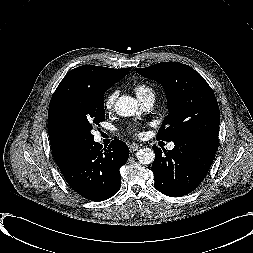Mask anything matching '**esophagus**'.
<instances>
[{"label": "esophagus", "instance_id": "1", "mask_svg": "<svg viewBox=\"0 0 253 253\" xmlns=\"http://www.w3.org/2000/svg\"><path fill=\"white\" fill-rule=\"evenodd\" d=\"M138 149H139V145H137V144H131V145L129 146L130 152H135V151L138 150Z\"/></svg>", "mask_w": 253, "mask_h": 253}]
</instances>
